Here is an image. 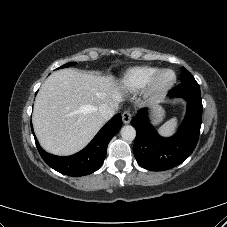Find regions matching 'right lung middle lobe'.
<instances>
[{"mask_svg":"<svg viewBox=\"0 0 227 227\" xmlns=\"http://www.w3.org/2000/svg\"><path fill=\"white\" fill-rule=\"evenodd\" d=\"M74 64H75L74 62L67 63V64H65V65L61 66L60 68L70 67V66H72V65H74Z\"/></svg>","mask_w":227,"mask_h":227,"instance_id":"dd1d6c3e","label":"right lung middle lobe"}]
</instances>
